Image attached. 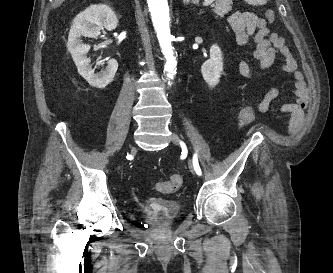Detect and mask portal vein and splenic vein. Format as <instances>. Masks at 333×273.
I'll use <instances>...</instances> for the list:
<instances>
[{"label": "portal vein and splenic vein", "mask_w": 333, "mask_h": 273, "mask_svg": "<svg viewBox=\"0 0 333 273\" xmlns=\"http://www.w3.org/2000/svg\"><path fill=\"white\" fill-rule=\"evenodd\" d=\"M213 2H214V0H204L203 5H204V6H208V5H210L211 3H213Z\"/></svg>", "instance_id": "portal-vein-and-splenic-vein-1"}]
</instances>
